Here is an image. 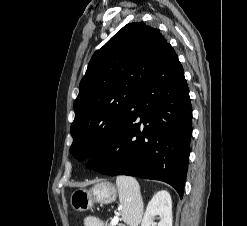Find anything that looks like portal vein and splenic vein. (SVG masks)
Masks as SVG:
<instances>
[{"mask_svg":"<svg viewBox=\"0 0 247 226\" xmlns=\"http://www.w3.org/2000/svg\"><path fill=\"white\" fill-rule=\"evenodd\" d=\"M118 221H119V216H118V215H115V216L113 217V219L111 220V224H112V225H115V224L118 223Z\"/></svg>","mask_w":247,"mask_h":226,"instance_id":"obj_1","label":"portal vein and splenic vein"}]
</instances>
